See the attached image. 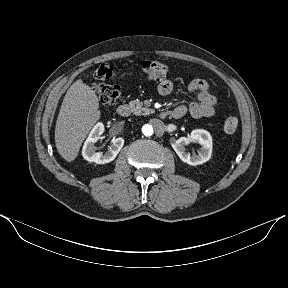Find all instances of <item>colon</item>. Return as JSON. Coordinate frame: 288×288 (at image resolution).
<instances>
[{
	"label": "colon",
	"instance_id": "obj_1",
	"mask_svg": "<svg viewBox=\"0 0 288 288\" xmlns=\"http://www.w3.org/2000/svg\"><path fill=\"white\" fill-rule=\"evenodd\" d=\"M141 70L147 78L156 81L163 80L168 73V67L164 63L157 61L144 62ZM95 77L100 81H109L113 77V71L110 66L102 64L95 71ZM92 89L101 102L105 104H113L120 96V88L117 85L94 83ZM237 127L238 119L235 116L229 115L224 119L223 128L225 132L233 133Z\"/></svg>",
	"mask_w": 288,
	"mask_h": 288
}]
</instances>
